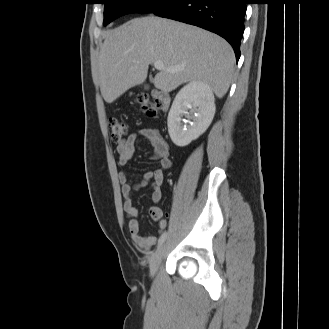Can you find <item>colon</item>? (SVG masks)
Instances as JSON below:
<instances>
[{
	"mask_svg": "<svg viewBox=\"0 0 329 329\" xmlns=\"http://www.w3.org/2000/svg\"><path fill=\"white\" fill-rule=\"evenodd\" d=\"M139 102L141 111L147 116L154 118L158 115L161 108V104L158 101H151L147 96H141ZM109 129L113 141H121L127 133L126 124L116 118L109 120Z\"/></svg>",
	"mask_w": 329,
	"mask_h": 329,
	"instance_id": "obj_1",
	"label": "colon"
}]
</instances>
